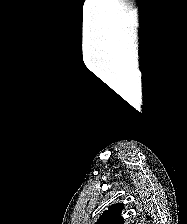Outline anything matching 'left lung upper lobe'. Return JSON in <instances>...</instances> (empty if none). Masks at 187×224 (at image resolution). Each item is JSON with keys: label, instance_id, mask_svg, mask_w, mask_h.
Masks as SVG:
<instances>
[{"label": "left lung upper lobe", "instance_id": "obj_1", "mask_svg": "<svg viewBox=\"0 0 187 224\" xmlns=\"http://www.w3.org/2000/svg\"><path fill=\"white\" fill-rule=\"evenodd\" d=\"M122 209V203L111 205L108 210L104 211L95 224H123L124 219L120 216Z\"/></svg>", "mask_w": 187, "mask_h": 224}]
</instances>
